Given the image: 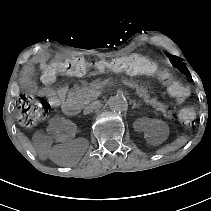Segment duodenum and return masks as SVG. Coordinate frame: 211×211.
<instances>
[{
  "instance_id": "1",
  "label": "duodenum",
  "mask_w": 211,
  "mask_h": 211,
  "mask_svg": "<svg viewBox=\"0 0 211 211\" xmlns=\"http://www.w3.org/2000/svg\"><path fill=\"white\" fill-rule=\"evenodd\" d=\"M63 112L68 116L76 115L79 111L78 104L73 100H66L62 104Z\"/></svg>"
}]
</instances>
